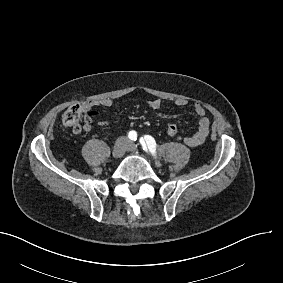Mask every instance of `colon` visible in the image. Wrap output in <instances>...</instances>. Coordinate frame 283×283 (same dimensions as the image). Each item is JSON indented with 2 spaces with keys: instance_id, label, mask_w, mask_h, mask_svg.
Instances as JSON below:
<instances>
[{
  "instance_id": "colon-1",
  "label": "colon",
  "mask_w": 283,
  "mask_h": 283,
  "mask_svg": "<svg viewBox=\"0 0 283 283\" xmlns=\"http://www.w3.org/2000/svg\"><path fill=\"white\" fill-rule=\"evenodd\" d=\"M82 113L81 108L78 105L69 106L63 116L62 122L64 126L71 129L72 132L78 133L82 129ZM166 132L170 136H175L179 132V127L175 122L168 123Z\"/></svg>"
}]
</instances>
